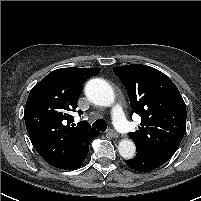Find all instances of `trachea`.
<instances>
[{
  "instance_id": "1",
  "label": "trachea",
  "mask_w": 201,
  "mask_h": 201,
  "mask_svg": "<svg viewBox=\"0 0 201 201\" xmlns=\"http://www.w3.org/2000/svg\"><path fill=\"white\" fill-rule=\"evenodd\" d=\"M92 128L104 132L107 129V124L104 120L98 119L92 124Z\"/></svg>"
}]
</instances>
